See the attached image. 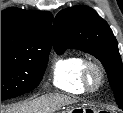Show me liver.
<instances>
[{
    "label": "liver",
    "instance_id": "1",
    "mask_svg": "<svg viewBox=\"0 0 123 113\" xmlns=\"http://www.w3.org/2000/svg\"><path fill=\"white\" fill-rule=\"evenodd\" d=\"M69 97L60 95L42 96L32 101L14 105L6 113H54L64 105L72 103ZM1 113H4L1 110Z\"/></svg>",
    "mask_w": 123,
    "mask_h": 113
}]
</instances>
